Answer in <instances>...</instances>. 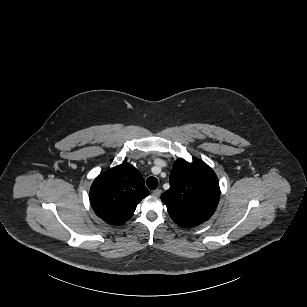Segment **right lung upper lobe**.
Instances as JSON below:
<instances>
[{"label":"right lung upper lobe","instance_id":"right-lung-upper-lobe-1","mask_svg":"<svg viewBox=\"0 0 307 307\" xmlns=\"http://www.w3.org/2000/svg\"><path fill=\"white\" fill-rule=\"evenodd\" d=\"M148 194L141 173L131 164L123 163L95 179L90 202L104 221L121 225L131 218L138 203Z\"/></svg>","mask_w":307,"mask_h":307}]
</instances>
